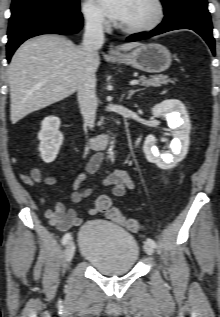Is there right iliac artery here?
<instances>
[{"label": "right iliac artery", "instance_id": "right-iliac-artery-1", "mask_svg": "<svg viewBox=\"0 0 220 317\" xmlns=\"http://www.w3.org/2000/svg\"><path fill=\"white\" fill-rule=\"evenodd\" d=\"M71 239V234L70 233H66L63 238H62V244L65 245L69 242V240Z\"/></svg>", "mask_w": 220, "mask_h": 317}]
</instances>
